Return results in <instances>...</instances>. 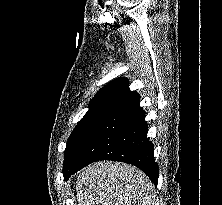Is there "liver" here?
Wrapping results in <instances>:
<instances>
[{
	"instance_id": "obj_1",
	"label": "liver",
	"mask_w": 222,
	"mask_h": 205,
	"mask_svg": "<svg viewBox=\"0 0 222 205\" xmlns=\"http://www.w3.org/2000/svg\"><path fill=\"white\" fill-rule=\"evenodd\" d=\"M78 205H155L156 192L138 168L120 162H96L78 176Z\"/></svg>"
}]
</instances>
